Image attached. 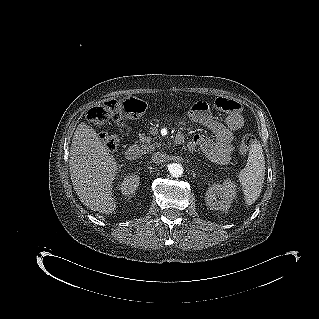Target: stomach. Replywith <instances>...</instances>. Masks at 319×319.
<instances>
[{"label":"stomach","mask_w":319,"mask_h":319,"mask_svg":"<svg viewBox=\"0 0 319 319\" xmlns=\"http://www.w3.org/2000/svg\"><path fill=\"white\" fill-rule=\"evenodd\" d=\"M205 112V109L197 103H193L188 111V115L192 120H196L202 116V114Z\"/></svg>","instance_id":"1"}]
</instances>
